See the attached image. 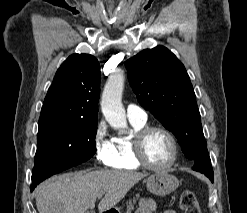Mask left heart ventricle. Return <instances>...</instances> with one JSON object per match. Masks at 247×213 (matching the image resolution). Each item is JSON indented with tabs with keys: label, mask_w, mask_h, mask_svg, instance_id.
Here are the masks:
<instances>
[{
	"label": "left heart ventricle",
	"mask_w": 247,
	"mask_h": 213,
	"mask_svg": "<svg viewBox=\"0 0 247 213\" xmlns=\"http://www.w3.org/2000/svg\"><path fill=\"white\" fill-rule=\"evenodd\" d=\"M143 152L148 162L156 166H163L171 159L172 146L164 133L153 131L144 141Z\"/></svg>",
	"instance_id": "b2bd125f"
}]
</instances>
